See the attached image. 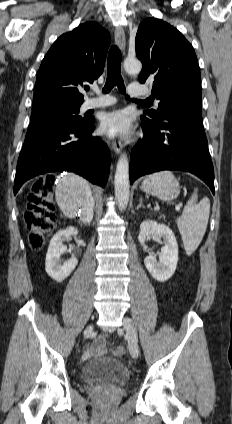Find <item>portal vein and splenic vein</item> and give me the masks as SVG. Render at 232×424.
<instances>
[{"mask_svg":"<svg viewBox=\"0 0 232 424\" xmlns=\"http://www.w3.org/2000/svg\"><path fill=\"white\" fill-rule=\"evenodd\" d=\"M175 210H176V211H179V210H180V205H176V206H175Z\"/></svg>","mask_w":232,"mask_h":424,"instance_id":"portal-vein-and-splenic-vein-1","label":"portal vein and splenic vein"}]
</instances>
